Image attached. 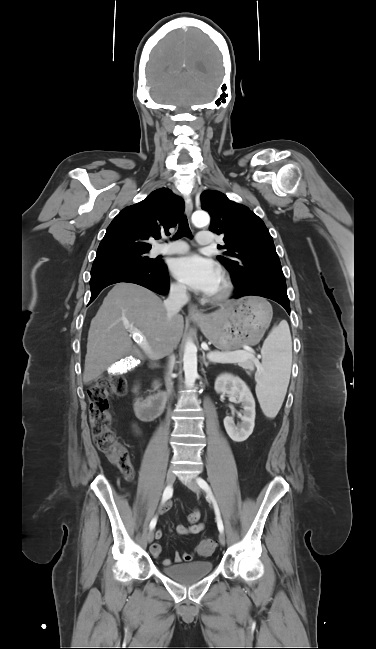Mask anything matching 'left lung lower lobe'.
Returning <instances> with one entry per match:
<instances>
[{
	"label": "left lung lower lobe",
	"instance_id": "left-lung-lower-lobe-1",
	"mask_svg": "<svg viewBox=\"0 0 376 649\" xmlns=\"http://www.w3.org/2000/svg\"><path fill=\"white\" fill-rule=\"evenodd\" d=\"M244 296H261L271 299L283 306L290 315V303L287 296V288L278 286L268 280L253 278L250 284L239 287L232 298L238 299Z\"/></svg>",
	"mask_w": 376,
	"mask_h": 649
}]
</instances>
